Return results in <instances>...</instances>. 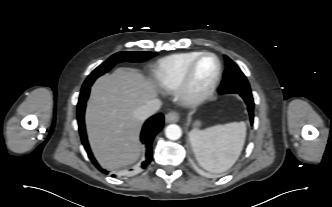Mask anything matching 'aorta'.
Wrapping results in <instances>:
<instances>
[{"mask_svg": "<svg viewBox=\"0 0 332 207\" xmlns=\"http://www.w3.org/2000/svg\"><path fill=\"white\" fill-rule=\"evenodd\" d=\"M165 135L170 140H178L182 136V130L178 125L171 124L166 127Z\"/></svg>", "mask_w": 332, "mask_h": 207, "instance_id": "aorta-1", "label": "aorta"}]
</instances>
